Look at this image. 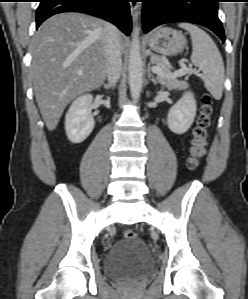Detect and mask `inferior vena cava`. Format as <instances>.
I'll return each mask as SVG.
<instances>
[{
  "instance_id": "1",
  "label": "inferior vena cava",
  "mask_w": 248,
  "mask_h": 299,
  "mask_svg": "<svg viewBox=\"0 0 248 299\" xmlns=\"http://www.w3.org/2000/svg\"><path fill=\"white\" fill-rule=\"evenodd\" d=\"M104 50L108 81L115 85L121 74V44L117 28L109 23L105 27Z\"/></svg>"
}]
</instances>
